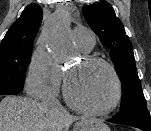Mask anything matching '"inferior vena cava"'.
I'll return each instance as SVG.
<instances>
[{
  "label": "inferior vena cava",
  "mask_w": 151,
  "mask_h": 131,
  "mask_svg": "<svg viewBox=\"0 0 151 131\" xmlns=\"http://www.w3.org/2000/svg\"><path fill=\"white\" fill-rule=\"evenodd\" d=\"M41 103L43 106L53 108V109H57L61 107L59 101L53 94H50L46 96L45 98H43Z\"/></svg>",
  "instance_id": "602c4592"
}]
</instances>
